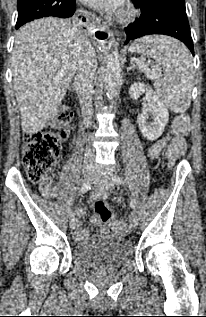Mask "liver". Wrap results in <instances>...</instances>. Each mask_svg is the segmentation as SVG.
<instances>
[{
	"label": "liver",
	"instance_id": "liver-1",
	"mask_svg": "<svg viewBox=\"0 0 206 317\" xmlns=\"http://www.w3.org/2000/svg\"><path fill=\"white\" fill-rule=\"evenodd\" d=\"M80 36L70 21L57 18L35 20L17 32L11 68L25 133L40 131L57 114L77 71Z\"/></svg>",
	"mask_w": 206,
	"mask_h": 317
}]
</instances>
